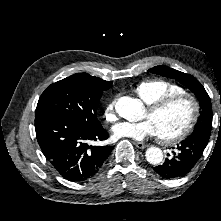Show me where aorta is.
Here are the masks:
<instances>
[{"instance_id": "aorta-1", "label": "aorta", "mask_w": 221, "mask_h": 221, "mask_svg": "<svg viewBox=\"0 0 221 221\" xmlns=\"http://www.w3.org/2000/svg\"><path fill=\"white\" fill-rule=\"evenodd\" d=\"M116 112L124 119L134 122L141 119L143 104L137 99L121 97L115 105ZM146 160L152 165H158L163 160V152L158 147H150L145 153Z\"/></svg>"}]
</instances>
